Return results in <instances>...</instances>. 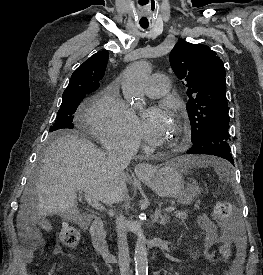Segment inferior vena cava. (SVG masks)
Instances as JSON below:
<instances>
[{"label":"inferior vena cava","mask_w":263,"mask_h":275,"mask_svg":"<svg viewBox=\"0 0 263 275\" xmlns=\"http://www.w3.org/2000/svg\"><path fill=\"white\" fill-rule=\"evenodd\" d=\"M133 155L134 151L125 144H116L108 148L107 158L112 173L117 179L125 181L124 169L129 165ZM116 231L120 275H129L130 256L127 241V221L122 214L116 217Z\"/></svg>","instance_id":"obj_1"}]
</instances>
